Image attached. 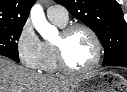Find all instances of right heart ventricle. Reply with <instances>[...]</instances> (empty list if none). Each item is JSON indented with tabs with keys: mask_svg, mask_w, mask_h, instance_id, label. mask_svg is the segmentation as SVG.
<instances>
[{
	"mask_svg": "<svg viewBox=\"0 0 127 92\" xmlns=\"http://www.w3.org/2000/svg\"><path fill=\"white\" fill-rule=\"evenodd\" d=\"M50 20L54 25L60 28L65 27L67 24V21L63 22L56 19H52V18H50ZM43 48H44V61L40 70L47 73H55L59 71L60 68L58 67V64L56 61L53 44L49 41H45L43 42Z\"/></svg>",
	"mask_w": 127,
	"mask_h": 92,
	"instance_id": "e07e8e85",
	"label": "right heart ventricle"
}]
</instances>
